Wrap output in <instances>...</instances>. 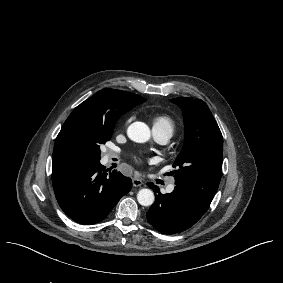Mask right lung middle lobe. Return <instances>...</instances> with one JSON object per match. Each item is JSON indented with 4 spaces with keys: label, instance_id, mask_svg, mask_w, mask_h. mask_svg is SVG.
Segmentation results:
<instances>
[{
    "label": "right lung middle lobe",
    "instance_id": "dd1d6c3e",
    "mask_svg": "<svg viewBox=\"0 0 283 283\" xmlns=\"http://www.w3.org/2000/svg\"><path fill=\"white\" fill-rule=\"evenodd\" d=\"M113 131L114 124L108 126H97L83 135L82 141L84 150L92 163L100 162V145L105 144L110 140Z\"/></svg>",
    "mask_w": 283,
    "mask_h": 283
}]
</instances>
